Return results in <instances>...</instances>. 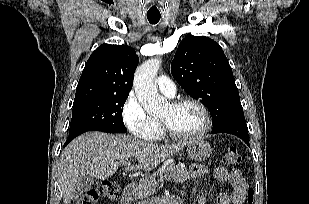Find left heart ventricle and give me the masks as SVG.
I'll return each mask as SVG.
<instances>
[{"label":"left heart ventricle","mask_w":309,"mask_h":204,"mask_svg":"<svg viewBox=\"0 0 309 204\" xmlns=\"http://www.w3.org/2000/svg\"><path fill=\"white\" fill-rule=\"evenodd\" d=\"M170 128L179 134H193L198 132L204 123L201 110L193 104H184L179 107L166 106L159 116Z\"/></svg>","instance_id":"1"}]
</instances>
